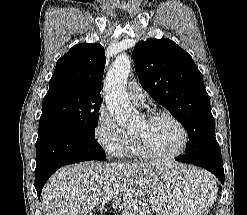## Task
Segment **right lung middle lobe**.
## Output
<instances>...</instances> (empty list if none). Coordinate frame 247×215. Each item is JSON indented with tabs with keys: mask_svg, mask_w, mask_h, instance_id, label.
I'll list each match as a JSON object with an SVG mask.
<instances>
[{
	"mask_svg": "<svg viewBox=\"0 0 247 215\" xmlns=\"http://www.w3.org/2000/svg\"><path fill=\"white\" fill-rule=\"evenodd\" d=\"M101 102L100 98L80 95L67 88L48 92L43 99L39 130L62 126L94 138Z\"/></svg>",
	"mask_w": 247,
	"mask_h": 215,
	"instance_id": "dd1d6c3e",
	"label": "right lung middle lobe"
}]
</instances>
